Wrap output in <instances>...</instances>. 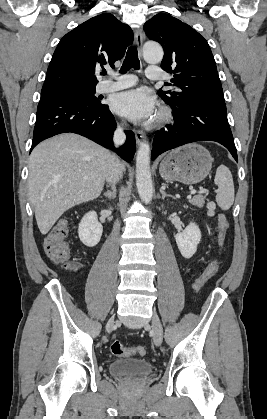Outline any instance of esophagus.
I'll use <instances>...</instances> for the list:
<instances>
[{
  "label": "esophagus",
  "mask_w": 267,
  "mask_h": 419,
  "mask_svg": "<svg viewBox=\"0 0 267 419\" xmlns=\"http://www.w3.org/2000/svg\"><path fill=\"white\" fill-rule=\"evenodd\" d=\"M135 44L138 48L139 53H141L142 44H143V33L141 29H137L135 31ZM135 137H136V142L140 144L145 138V133L143 131H136Z\"/></svg>",
  "instance_id": "1"
}]
</instances>
